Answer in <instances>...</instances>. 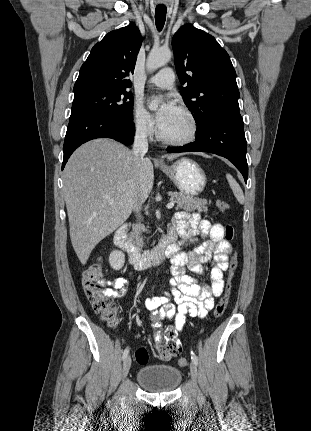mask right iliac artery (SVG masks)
<instances>
[{
	"instance_id": "obj_1",
	"label": "right iliac artery",
	"mask_w": 311,
	"mask_h": 431,
	"mask_svg": "<svg viewBox=\"0 0 311 431\" xmlns=\"http://www.w3.org/2000/svg\"><path fill=\"white\" fill-rule=\"evenodd\" d=\"M128 354H129V348H126L124 350V353H123V356H122L123 360L128 356Z\"/></svg>"
}]
</instances>
